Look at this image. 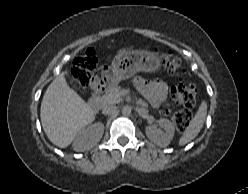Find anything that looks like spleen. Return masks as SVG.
<instances>
[{"mask_svg": "<svg viewBox=\"0 0 248 194\" xmlns=\"http://www.w3.org/2000/svg\"><path fill=\"white\" fill-rule=\"evenodd\" d=\"M206 115H207V102L203 100L194 118L191 120L189 126L186 128L182 137L180 138L179 140L180 146L189 143L198 135V133L203 127Z\"/></svg>", "mask_w": 248, "mask_h": 194, "instance_id": "3e777b00", "label": "spleen"}]
</instances>
